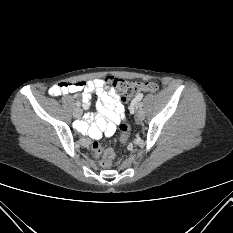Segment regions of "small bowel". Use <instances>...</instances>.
Returning a JSON list of instances; mask_svg holds the SVG:
<instances>
[{"mask_svg": "<svg viewBox=\"0 0 233 233\" xmlns=\"http://www.w3.org/2000/svg\"><path fill=\"white\" fill-rule=\"evenodd\" d=\"M80 91L82 92V103L85 110L91 107L92 94L97 96V113L87 114L85 120L78 122L76 129L81 133L89 134L95 139H99L103 135H113L117 126L125 118L124 105L116 92L107 90L104 80L94 79L57 83L49 89V94L52 96H61ZM141 95L139 94L138 96Z\"/></svg>", "mask_w": 233, "mask_h": 233, "instance_id": "1", "label": "small bowel"}]
</instances>
